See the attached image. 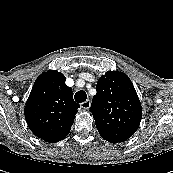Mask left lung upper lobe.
<instances>
[{"instance_id":"1","label":"left lung upper lobe","mask_w":173,"mask_h":173,"mask_svg":"<svg viewBox=\"0 0 173 173\" xmlns=\"http://www.w3.org/2000/svg\"><path fill=\"white\" fill-rule=\"evenodd\" d=\"M97 94L90 111L101 137L109 142H124L138 129L142 109L129 77L108 71L97 82Z\"/></svg>"}]
</instances>
